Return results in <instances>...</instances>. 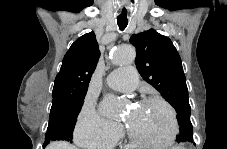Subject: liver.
<instances>
[{
    "mask_svg": "<svg viewBox=\"0 0 227 149\" xmlns=\"http://www.w3.org/2000/svg\"><path fill=\"white\" fill-rule=\"evenodd\" d=\"M47 149H77L75 146L66 142H55L50 144Z\"/></svg>",
    "mask_w": 227,
    "mask_h": 149,
    "instance_id": "obj_1",
    "label": "liver"
}]
</instances>
